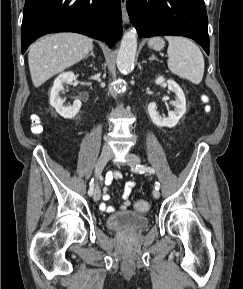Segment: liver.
Returning a JSON list of instances; mask_svg holds the SVG:
<instances>
[{
    "mask_svg": "<svg viewBox=\"0 0 243 289\" xmlns=\"http://www.w3.org/2000/svg\"><path fill=\"white\" fill-rule=\"evenodd\" d=\"M93 40L77 33H56L33 43L28 53L31 79L40 87L54 75L85 58Z\"/></svg>",
    "mask_w": 243,
    "mask_h": 289,
    "instance_id": "liver-1",
    "label": "liver"
}]
</instances>
